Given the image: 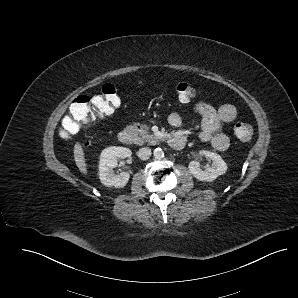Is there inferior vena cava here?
<instances>
[{
	"instance_id": "obj_1",
	"label": "inferior vena cava",
	"mask_w": 298,
	"mask_h": 298,
	"mask_svg": "<svg viewBox=\"0 0 298 298\" xmlns=\"http://www.w3.org/2000/svg\"><path fill=\"white\" fill-rule=\"evenodd\" d=\"M152 152H151V149L148 148V147H143V148H140L139 151H138V157L141 159V160H147L149 159V157L151 156Z\"/></svg>"
}]
</instances>
